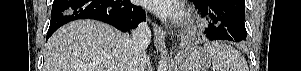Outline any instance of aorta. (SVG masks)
Segmentation results:
<instances>
[{"mask_svg":"<svg viewBox=\"0 0 301 71\" xmlns=\"http://www.w3.org/2000/svg\"><path fill=\"white\" fill-rule=\"evenodd\" d=\"M157 71H167V62L165 57L160 60Z\"/></svg>","mask_w":301,"mask_h":71,"instance_id":"762f6f07","label":"aorta"}]
</instances>
